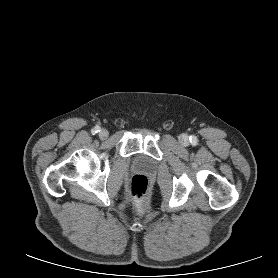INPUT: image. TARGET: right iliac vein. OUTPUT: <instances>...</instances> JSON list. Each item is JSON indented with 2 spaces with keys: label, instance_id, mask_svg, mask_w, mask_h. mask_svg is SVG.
<instances>
[{
  "label": "right iliac vein",
  "instance_id": "right-iliac-vein-1",
  "mask_svg": "<svg viewBox=\"0 0 278 278\" xmlns=\"http://www.w3.org/2000/svg\"><path fill=\"white\" fill-rule=\"evenodd\" d=\"M109 136V132L106 129H102L99 132V137L101 139H106Z\"/></svg>",
  "mask_w": 278,
  "mask_h": 278
}]
</instances>
